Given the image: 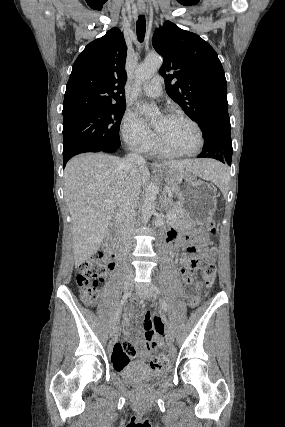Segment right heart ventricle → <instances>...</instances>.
<instances>
[{"label": "right heart ventricle", "instance_id": "obj_1", "mask_svg": "<svg viewBox=\"0 0 285 427\" xmlns=\"http://www.w3.org/2000/svg\"><path fill=\"white\" fill-rule=\"evenodd\" d=\"M146 153L150 154H158L163 157H174L175 154H172L170 152L165 151L158 143H154L147 151Z\"/></svg>", "mask_w": 285, "mask_h": 427}]
</instances>
